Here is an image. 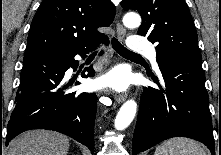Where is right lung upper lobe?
Listing matches in <instances>:
<instances>
[{
	"label": "right lung upper lobe",
	"mask_w": 221,
	"mask_h": 155,
	"mask_svg": "<svg viewBox=\"0 0 221 155\" xmlns=\"http://www.w3.org/2000/svg\"><path fill=\"white\" fill-rule=\"evenodd\" d=\"M115 7L110 0H43L28 34L25 54L38 50L82 51L105 38Z\"/></svg>",
	"instance_id": "right-lung-upper-lobe-1"
}]
</instances>
